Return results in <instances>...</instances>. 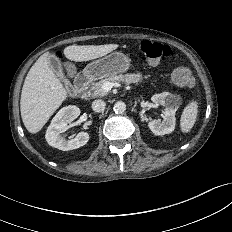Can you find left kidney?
<instances>
[{
  "label": "left kidney",
  "instance_id": "obj_1",
  "mask_svg": "<svg viewBox=\"0 0 232 232\" xmlns=\"http://www.w3.org/2000/svg\"><path fill=\"white\" fill-rule=\"evenodd\" d=\"M152 102L165 107L163 120H153L148 123L149 129L155 135H165L174 131L176 125L175 113L180 105V97L169 92L155 94Z\"/></svg>",
  "mask_w": 232,
  "mask_h": 232
}]
</instances>
